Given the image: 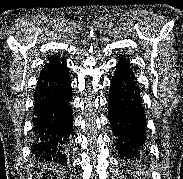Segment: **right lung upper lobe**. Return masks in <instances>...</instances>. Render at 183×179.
Listing matches in <instances>:
<instances>
[{"mask_svg": "<svg viewBox=\"0 0 183 179\" xmlns=\"http://www.w3.org/2000/svg\"><path fill=\"white\" fill-rule=\"evenodd\" d=\"M63 63H65L63 59H59V56L54 55L49 57V62L46 63V65H55V64H63Z\"/></svg>", "mask_w": 183, "mask_h": 179, "instance_id": "obj_1", "label": "right lung upper lobe"}]
</instances>
